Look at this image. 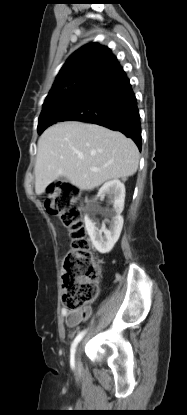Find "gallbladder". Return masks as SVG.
<instances>
[{
    "label": "gallbladder",
    "instance_id": "gallbladder-1",
    "mask_svg": "<svg viewBox=\"0 0 187 415\" xmlns=\"http://www.w3.org/2000/svg\"><path fill=\"white\" fill-rule=\"evenodd\" d=\"M58 180L61 181V182H65L66 181V179L64 177H59Z\"/></svg>",
    "mask_w": 187,
    "mask_h": 415
}]
</instances>
